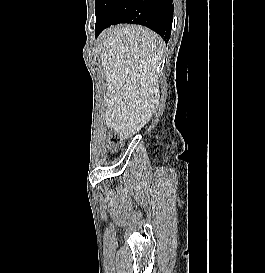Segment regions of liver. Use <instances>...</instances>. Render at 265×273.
<instances>
[{"instance_id":"1","label":"liver","mask_w":265,"mask_h":273,"mask_svg":"<svg viewBox=\"0 0 265 273\" xmlns=\"http://www.w3.org/2000/svg\"><path fill=\"white\" fill-rule=\"evenodd\" d=\"M107 81L106 122L119 137L135 135L152 117L159 101L155 73L165 44L138 25H117L100 36Z\"/></svg>"}]
</instances>
